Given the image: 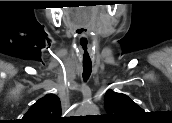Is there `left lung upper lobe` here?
I'll list each match as a JSON object with an SVG mask.
<instances>
[{
	"mask_svg": "<svg viewBox=\"0 0 172 123\" xmlns=\"http://www.w3.org/2000/svg\"><path fill=\"white\" fill-rule=\"evenodd\" d=\"M105 109L107 117L114 120H129L144 111L127 95L108 90L105 95Z\"/></svg>",
	"mask_w": 172,
	"mask_h": 123,
	"instance_id": "1",
	"label": "left lung upper lobe"
}]
</instances>
